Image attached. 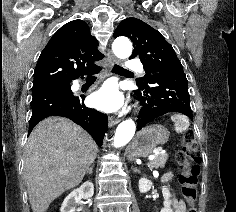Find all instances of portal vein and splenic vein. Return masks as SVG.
<instances>
[{"label": "portal vein and splenic vein", "mask_w": 236, "mask_h": 212, "mask_svg": "<svg viewBox=\"0 0 236 212\" xmlns=\"http://www.w3.org/2000/svg\"><path fill=\"white\" fill-rule=\"evenodd\" d=\"M165 151L162 149V148H158V149H155L153 151V154L149 156V159L150 160H153L157 155L159 154H163ZM64 171H61V173H63Z\"/></svg>", "instance_id": "portal-vein-and-splenic-vein-1"}]
</instances>
